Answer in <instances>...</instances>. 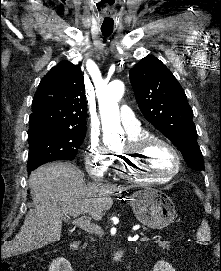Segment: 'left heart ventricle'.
Masks as SVG:
<instances>
[{"label":"left heart ventricle","instance_id":"1","mask_svg":"<svg viewBox=\"0 0 221 271\" xmlns=\"http://www.w3.org/2000/svg\"><path fill=\"white\" fill-rule=\"evenodd\" d=\"M148 141H159L151 139ZM141 149V156H132V164H140L143 166H150L151 169L156 172L158 166H161L162 172H171L172 166H168L172 163L170 155L166 153L168 147H158V144H143ZM121 164H126V161H121Z\"/></svg>","mask_w":221,"mask_h":271}]
</instances>
